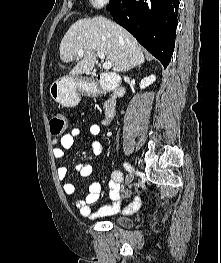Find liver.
Segmentation results:
<instances>
[{
  "label": "liver",
  "instance_id": "liver-1",
  "mask_svg": "<svg viewBox=\"0 0 221 263\" xmlns=\"http://www.w3.org/2000/svg\"><path fill=\"white\" fill-rule=\"evenodd\" d=\"M80 49L85 51L70 71L72 75L92 71L98 50L112 63L114 72L130 70L145 61L136 39L123 27L102 16L79 19L70 26L60 43L61 60L65 63L77 60Z\"/></svg>",
  "mask_w": 221,
  "mask_h": 263
}]
</instances>
